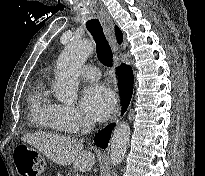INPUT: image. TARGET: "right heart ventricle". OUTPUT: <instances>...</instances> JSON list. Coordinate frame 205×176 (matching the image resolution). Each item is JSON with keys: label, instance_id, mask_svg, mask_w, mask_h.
<instances>
[{"label": "right heart ventricle", "instance_id": "1", "mask_svg": "<svg viewBox=\"0 0 205 176\" xmlns=\"http://www.w3.org/2000/svg\"><path fill=\"white\" fill-rule=\"evenodd\" d=\"M30 117L34 125L51 133H62L63 124L58 114L59 104L52 98L43 81H37L30 97Z\"/></svg>", "mask_w": 205, "mask_h": 176}]
</instances>
